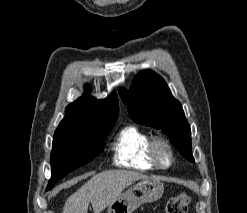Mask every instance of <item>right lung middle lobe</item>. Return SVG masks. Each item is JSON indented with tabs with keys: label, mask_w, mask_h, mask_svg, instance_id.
Returning <instances> with one entry per match:
<instances>
[{
	"label": "right lung middle lobe",
	"mask_w": 247,
	"mask_h": 213,
	"mask_svg": "<svg viewBox=\"0 0 247 213\" xmlns=\"http://www.w3.org/2000/svg\"><path fill=\"white\" fill-rule=\"evenodd\" d=\"M113 126L114 123L87 132H55L51 152L52 176L46 190L69 172L98 156Z\"/></svg>",
	"instance_id": "obj_1"
}]
</instances>
